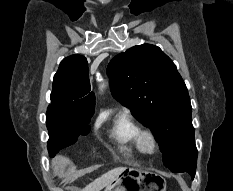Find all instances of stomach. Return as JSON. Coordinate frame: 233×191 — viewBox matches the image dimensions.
<instances>
[{"instance_id":"1","label":"stomach","mask_w":233,"mask_h":191,"mask_svg":"<svg viewBox=\"0 0 233 191\" xmlns=\"http://www.w3.org/2000/svg\"><path fill=\"white\" fill-rule=\"evenodd\" d=\"M104 191H166V181L154 172L126 168Z\"/></svg>"}]
</instances>
